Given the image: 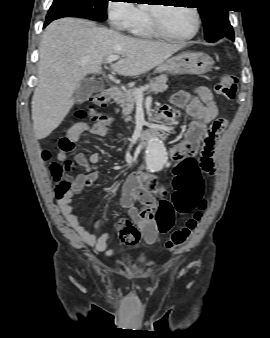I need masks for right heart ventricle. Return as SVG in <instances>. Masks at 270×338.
Here are the masks:
<instances>
[{"label":"right heart ventricle","instance_id":"1","mask_svg":"<svg viewBox=\"0 0 270 338\" xmlns=\"http://www.w3.org/2000/svg\"><path fill=\"white\" fill-rule=\"evenodd\" d=\"M138 11L140 13V20L130 25L127 28V30L130 33L139 37L143 38L154 37L155 34L153 33L149 24L148 8H139Z\"/></svg>","mask_w":270,"mask_h":338}]
</instances>
